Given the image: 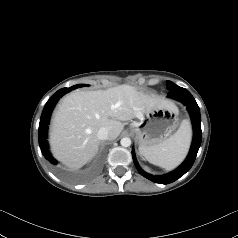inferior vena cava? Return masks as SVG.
Wrapping results in <instances>:
<instances>
[{
    "label": "inferior vena cava",
    "mask_w": 238,
    "mask_h": 238,
    "mask_svg": "<svg viewBox=\"0 0 238 238\" xmlns=\"http://www.w3.org/2000/svg\"><path fill=\"white\" fill-rule=\"evenodd\" d=\"M109 131L106 127H102L97 132V137L99 140H107Z\"/></svg>",
    "instance_id": "602c4592"
}]
</instances>
